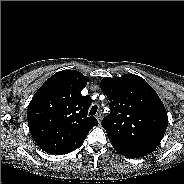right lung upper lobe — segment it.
<instances>
[{
  "label": "right lung upper lobe",
  "mask_w": 184,
  "mask_h": 184,
  "mask_svg": "<svg viewBox=\"0 0 184 184\" xmlns=\"http://www.w3.org/2000/svg\"><path fill=\"white\" fill-rule=\"evenodd\" d=\"M88 81L79 71L63 70L35 93L27 110L28 126L42 150L56 155L69 153L98 125L94 117L87 116L91 97L81 95Z\"/></svg>",
  "instance_id": "obj_1"
}]
</instances>
